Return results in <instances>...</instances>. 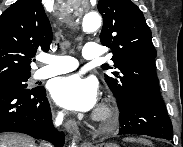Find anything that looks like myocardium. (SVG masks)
Returning <instances> with one entry per match:
<instances>
[{"mask_svg": "<svg viewBox=\"0 0 183 147\" xmlns=\"http://www.w3.org/2000/svg\"><path fill=\"white\" fill-rule=\"evenodd\" d=\"M117 117L118 113L115 107L108 102L101 103L93 114V119L101 123L115 121Z\"/></svg>", "mask_w": 183, "mask_h": 147, "instance_id": "1", "label": "myocardium"}]
</instances>
